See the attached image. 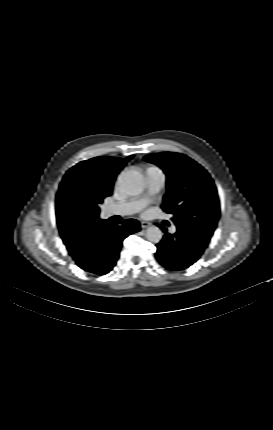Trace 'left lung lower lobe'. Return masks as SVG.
Segmentation results:
<instances>
[{"label":"left lung lower lobe","instance_id":"left-lung-lower-lobe-1","mask_svg":"<svg viewBox=\"0 0 273 430\" xmlns=\"http://www.w3.org/2000/svg\"><path fill=\"white\" fill-rule=\"evenodd\" d=\"M165 232L163 239L157 246L156 259L165 268L173 271L183 270L196 262L206 247L200 244L186 231L179 229L175 234L166 233V228L160 226Z\"/></svg>","mask_w":273,"mask_h":430}]
</instances>
